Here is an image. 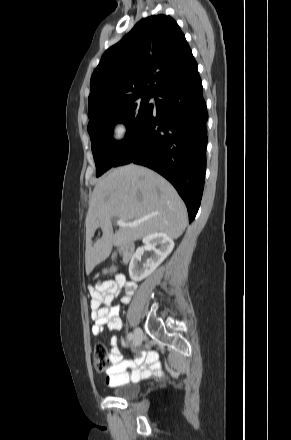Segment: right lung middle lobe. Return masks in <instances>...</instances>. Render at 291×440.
<instances>
[{
  "label": "right lung middle lobe",
  "instance_id": "right-lung-middle-lobe-1",
  "mask_svg": "<svg viewBox=\"0 0 291 440\" xmlns=\"http://www.w3.org/2000/svg\"><path fill=\"white\" fill-rule=\"evenodd\" d=\"M151 97V95H138L101 104L88 111V132L97 177L113 167L121 150L146 119L153 107L149 103ZM116 123H124L127 128L126 137L120 142L112 139L113 126Z\"/></svg>",
  "mask_w": 291,
  "mask_h": 440
}]
</instances>
